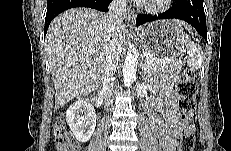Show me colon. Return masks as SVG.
Listing matches in <instances>:
<instances>
[{"label":"colon","instance_id":"1","mask_svg":"<svg viewBox=\"0 0 231 151\" xmlns=\"http://www.w3.org/2000/svg\"><path fill=\"white\" fill-rule=\"evenodd\" d=\"M179 96V108L185 122L191 123L196 118V95L198 85L191 69H185L182 79L176 87ZM53 136L58 151H79V146L71 138L63 119L58 118L53 126ZM196 144L194 132H186L179 143V151H193Z\"/></svg>","mask_w":231,"mask_h":151}]
</instances>
